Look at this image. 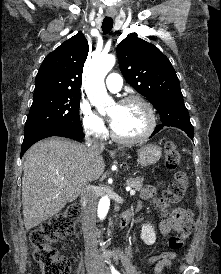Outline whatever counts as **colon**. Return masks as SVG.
Here are the masks:
<instances>
[{
    "mask_svg": "<svg viewBox=\"0 0 221 274\" xmlns=\"http://www.w3.org/2000/svg\"><path fill=\"white\" fill-rule=\"evenodd\" d=\"M166 156V168L174 172V179L168 185L164 200L167 203H177L185 195L188 185L187 175L184 171L178 170L180 153L172 141L164 145ZM81 215L80 206L72 204L64 212L42 223L30 233V242L33 246V258L38 264L42 274H70V263L59 256L53 243L59 239L70 236L79 221ZM193 229L191 212L186 213V221L182 233L170 237L168 245L171 250H179L184 239L189 236Z\"/></svg>",
    "mask_w": 221,
    "mask_h": 274,
    "instance_id": "1",
    "label": "colon"
}]
</instances>
